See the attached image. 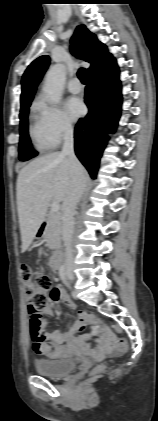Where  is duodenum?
<instances>
[{
    "label": "duodenum",
    "instance_id": "duodenum-1",
    "mask_svg": "<svg viewBox=\"0 0 158 421\" xmlns=\"http://www.w3.org/2000/svg\"><path fill=\"white\" fill-rule=\"evenodd\" d=\"M45 222L42 223L41 227H40V231L43 232L45 229ZM63 260V252L61 250H58L56 252L53 253V255L51 256L50 259V266L52 269L57 270L61 267V263Z\"/></svg>",
    "mask_w": 158,
    "mask_h": 421
}]
</instances>
